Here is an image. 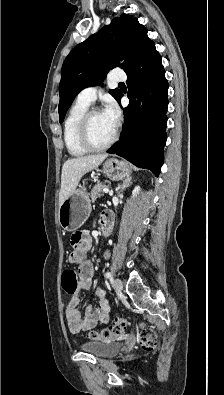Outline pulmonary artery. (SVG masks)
<instances>
[{"label":"pulmonary artery","instance_id":"1","mask_svg":"<svg viewBox=\"0 0 224 395\" xmlns=\"http://www.w3.org/2000/svg\"><path fill=\"white\" fill-rule=\"evenodd\" d=\"M126 78L127 75L125 71L120 69L113 70L110 77L111 81H124ZM97 92V87H87L78 94L77 100L90 105L95 101Z\"/></svg>","mask_w":224,"mask_h":395}]
</instances>
